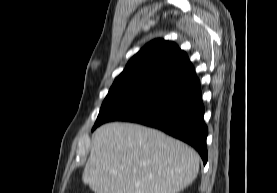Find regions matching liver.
<instances>
[{
    "instance_id": "liver-1",
    "label": "liver",
    "mask_w": 277,
    "mask_h": 193,
    "mask_svg": "<svg viewBox=\"0 0 277 193\" xmlns=\"http://www.w3.org/2000/svg\"><path fill=\"white\" fill-rule=\"evenodd\" d=\"M185 143L138 124H104L93 134L82 179L95 193H178L199 171Z\"/></svg>"
}]
</instances>
